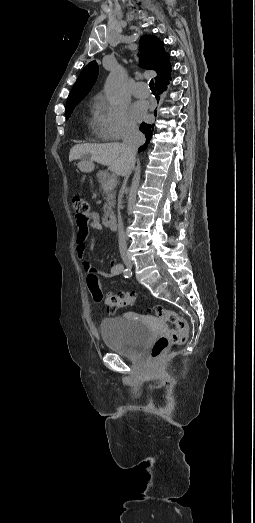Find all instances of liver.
I'll list each match as a JSON object with an SVG mask.
<instances>
[{
    "mask_svg": "<svg viewBox=\"0 0 255 523\" xmlns=\"http://www.w3.org/2000/svg\"><path fill=\"white\" fill-rule=\"evenodd\" d=\"M123 144H77L69 154V162L80 160L82 156L90 154L92 162L108 166L110 172L122 176L126 164L121 158Z\"/></svg>",
    "mask_w": 255,
    "mask_h": 523,
    "instance_id": "1",
    "label": "liver"
}]
</instances>
